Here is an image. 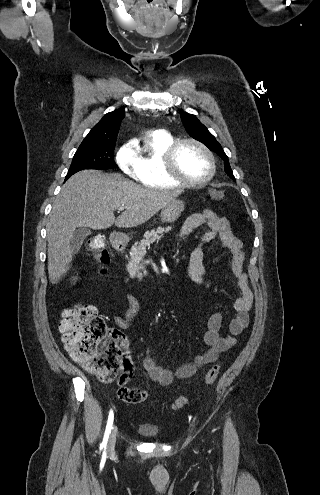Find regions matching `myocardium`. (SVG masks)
I'll return each mask as SVG.
<instances>
[{
    "label": "myocardium",
    "instance_id": "1",
    "mask_svg": "<svg viewBox=\"0 0 320 495\" xmlns=\"http://www.w3.org/2000/svg\"><path fill=\"white\" fill-rule=\"evenodd\" d=\"M185 144H193L197 146L206 155L210 163V170L206 177L202 179L192 180L184 177L179 171L177 165V155L180 148ZM163 162L166 173L173 180L185 186H199V185L207 184L209 181L212 180V178L216 173V160L213 153L205 144L194 138H184V139L176 140L166 149L163 156Z\"/></svg>",
    "mask_w": 320,
    "mask_h": 495
}]
</instances>
